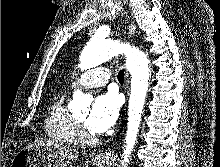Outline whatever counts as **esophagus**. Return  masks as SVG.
<instances>
[{"label":"esophagus","instance_id":"obj_1","mask_svg":"<svg viewBox=\"0 0 220 167\" xmlns=\"http://www.w3.org/2000/svg\"><path fill=\"white\" fill-rule=\"evenodd\" d=\"M129 33H130V37L135 38L137 36V32H136V27L134 25V23L131 22V24L129 25ZM126 83H128V74L126 73ZM105 154L104 153H98L96 155V158L98 160H101L103 158H105Z\"/></svg>","mask_w":220,"mask_h":167}]
</instances>
